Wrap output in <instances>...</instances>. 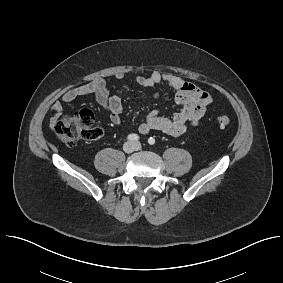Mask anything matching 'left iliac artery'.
<instances>
[{
  "label": "left iliac artery",
  "instance_id": "left-iliac-artery-1",
  "mask_svg": "<svg viewBox=\"0 0 283 283\" xmlns=\"http://www.w3.org/2000/svg\"><path fill=\"white\" fill-rule=\"evenodd\" d=\"M148 143H149L150 145H153V144L155 143V139H154L153 137H150V138L148 139Z\"/></svg>",
  "mask_w": 283,
  "mask_h": 283
}]
</instances>
